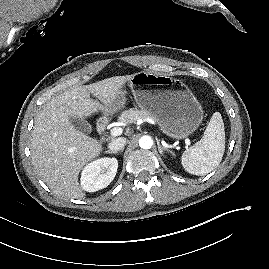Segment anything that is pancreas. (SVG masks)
Here are the masks:
<instances>
[{"instance_id":"1","label":"pancreas","mask_w":269,"mask_h":269,"mask_svg":"<svg viewBox=\"0 0 269 269\" xmlns=\"http://www.w3.org/2000/svg\"><path fill=\"white\" fill-rule=\"evenodd\" d=\"M150 115L144 111L137 108H131L122 112L119 117V121L125 124H131L136 122L138 119L149 117Z\"/></svg>"}]
</instances>
